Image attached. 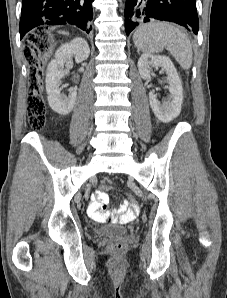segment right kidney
<instances>
[{
	"mask_svg": "<svg viewBox=\"0 0 227 298\" xmlns=\"http://www.w3.org/2000/svg\"><path fill=\"white\" fill-rule=\"evenodd\" d=\"M90 49L82 38H75L61 45L54 59L49 63L46 73V91L51 109L60 115H68L76 102L77 92L71 91L68 96L61 94L60 82L65 75L64 64L72 61L83 62L89 57Z\"/></svg>",
	"mask_w": 227,
	"mask_h": 298,
	"instance_id": "right-kidney-1",
	"label": "right kidney"
}]
</instances>
